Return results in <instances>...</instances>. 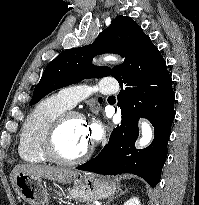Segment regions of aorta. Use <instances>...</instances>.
Returning a JSON list of instances; mask_svg holds the SVG:
<instances>
[{
	"label": "aorta",
	"mask_w": 199,
	"mask_h": 205,
	"mask_svg": "<svg viewBox=\"0 0 199 205\" xmlns=\"http://www.w3.org/2000/svg\"><path fill=\"white\" fill-rule=\"evenodd\" d=\"M105 61H116V57L114 56H105L104 58ZM141 132H142V137L139 140V147L143 148L148 146L152 139H153V131L151 129V126L148 122H142L141 123Z\"/></svg>",
	"instance_id": "aorta-1"
}]
</instances>
